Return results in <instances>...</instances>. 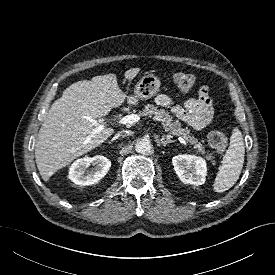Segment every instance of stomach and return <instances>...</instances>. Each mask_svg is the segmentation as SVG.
<instances>
[{"label":"stomach","mask_w":275,"mask_h":275,"mask_svg":"<svg viewBox=\"0 0 275 275\" xmlns=\"http://www.w3.org/2000/svg\"><path fill=\"white\" fill-rule=\"evenodd\" d=\"M160 80L153 74L144 75L135 85L134 95L129 97V103L135 104L138 99H149L157 94Z\"/></svg>","instance_id":"stomach-1"}]
</instances>
